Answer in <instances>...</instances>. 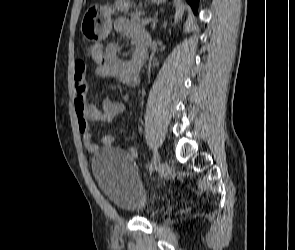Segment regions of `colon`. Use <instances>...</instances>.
Masks as SVG:
<instances>
[{"mask_svg":"<svg viewBox=\"0 0 295 250\" xmlns=\"http://www.w3.org/2000/svg\"><path fill=\"white\" fill-rule=\"evenodd\" d=\"M96 47L93 46H86L84 49V53L86 56L90 57Z\"/></svg>","mask_w":295,"mask_h":250,"instance_id":"colon-1","label":"colon"}]
</instances>
